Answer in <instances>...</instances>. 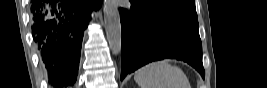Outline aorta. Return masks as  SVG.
<instances>
[{"label":"aorta","mask_w":267,"mask_h":88,"mask_svg":"<svg viewBox=\"0 0 267 88\" xmlns=\"http://www.w3.org/2000/svg\"><path fill=\"white\" fill-rule=\"evenodd\" d=\"M105 31L111 51L118 55L121 52V23L115 0H104L103 3Z\"/></svg>","instance_id":"aorta-1"}]
</instances>
